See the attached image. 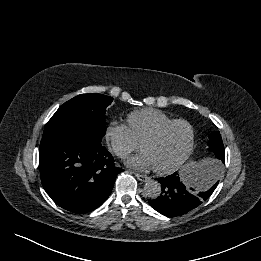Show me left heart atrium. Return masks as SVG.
Here are the masks:
<instances>
[{
    "instance_id": "1",
    "label": "left heart atrium",
    "mask_w": 261,
    "mask_h": 261,
    "mask_svg": "<svg viewBox=\"0 0 261 261\" xmlns=\"http://www.w3.org/2000/svg\"><path fill=\"white\" fill-rule=\"evenodd\" d=\"M127 163L134 169H146L154 167L150 155L144 150L141 153L131 157Z\"/></svg>"
}]
</instances>
